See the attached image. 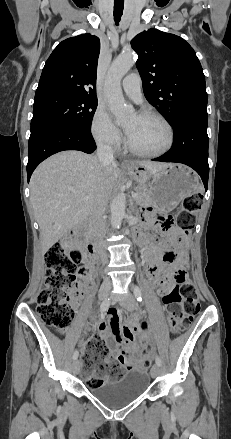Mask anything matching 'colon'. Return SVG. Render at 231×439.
I'll use <instances>...</instances> for the list:
<instances>
[{"label": "colon", "instance_id": "colon-1", "mask_svg": "<svg viewBox=\"0 0 231 439\" xmlns=\"http://www.w3.org/2000/svg\"><path fill=\"white\" fill-rule=\"evenodd\" d=\"M200 194H193L183 200L181 209L174 218L159 217L155 220L162 230L168 231L177 225L185 232L181 235L184 241L186 234L195 225V214L202 206ZM172 255L168 259L171 260ZM83 254L78 248H70L66 241L52 245L45 253L47 277L45 287L37 296V314L49 327L64 332L69 327L73 310L70 305L72 295L79 289L80 280L87 276L82 266ZM177 271L174 280L177 285L163 293V302L167 308V318L173 331H183L199 312L198 292L196 286L187 280L185 256H179L176 262ZM137 329V327H136ZM142 332L144 327L139 328ZM86 352L82 356L83 375L89 387L101 386L105 378L117 380L122 373L116 361L103 362L108 356V348L101 338L94 336L83 342ZM145 368L151 366L150 360L143 362ZM96 369L97 373L92 375Z\"/></svg>", "mask_w": 231, "mask_h": 439}]
</instances>
